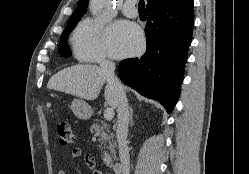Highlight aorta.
I'll use <instances>...</instances> for the list:
<instances>
[{"label": "aorta", "instance_id": "1", "mask_svg": "<svg viewBox=\"0 0 249 174\" xmlns=\"http://www.w3.org/2000/svg\"><path fill=\"white\" fill-rule=\"evenodd\" d=\"M106 0H90L89 8L93 15H97L104 8Z\"/></svg>", "mask_w": 249, "mask_h": 174}]
</instances>
